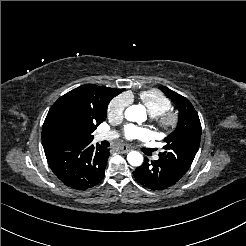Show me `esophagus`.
<instances>
[{
	"label": "esophagus",
	"instance_id": "34e87169",
	"mask_svg": "<svg viewBox=\"0 0 246 246\" xmlns=\"http://www.w3.org/2000/svg\"><path fill=\"white\" fill-rule=\"evenodd\" d=\"M116 150L117 152H122V153H128L131 151L129 147H125V146H120Z\"/></svg>",
	"mask_w": 246,
	"mask_h": 246
}]
</instances>
